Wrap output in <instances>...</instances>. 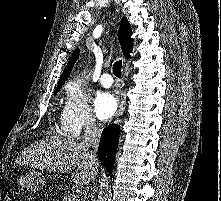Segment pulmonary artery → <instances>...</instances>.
<instances>
[{
    "label": "pulmonary artery",
    "instance_id": "1",
    "mask_svg": "<svg viewBox=\"0 0 221 201\" xmlns=\"http://www.w3.org/2000/svg\"><path fill=\"white\" fill-rule=\"evenodd\" d=\"M100 84L105 88L110 87L113 84L112 76L109 73H104L100 77Z\"/></svg>",
    "mask_w": 221,
    "mask_h": 201
}]
</instances>
